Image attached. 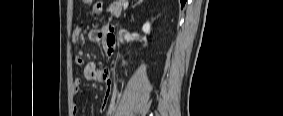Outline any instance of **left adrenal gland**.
Instances as JSON below:
<instances>
[{
	"label": "left adrenal gland",
	"instance_id": "left-adrenal-gland-1",
	"mask_svg": "<svg viewBox=\"0 0 283 116\" xmlns=\"http://www.w3.org/2000/svg\"><path fill=\"white\" fill-rule=\"evenodd\" d=\"M142 1H138L137 5L140 4Z\"/></svg>",
	"mask_w": 283,
	"mask_h": 116
}]
</instances>
